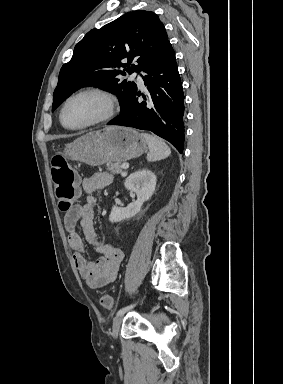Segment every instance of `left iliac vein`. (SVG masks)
I'll return each instance as SVG.
<instances>
[{"label":"left iliac vein","instance_id":"obj_1","mask_svg":"<svg viewBox=\"0 0 283 384\" xmlns=\"http://www.w3.org/2000/svg\"><path fill=\"white\" fill-rule=\"evenodd\" d=\"M124 314L117 315L113 320L112 336L116 339L120 330Z\"/></svg>","mask_w":283,"mask_h":384}]
</instances>
